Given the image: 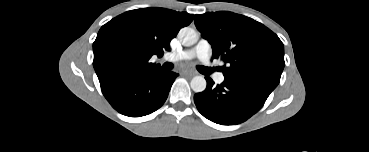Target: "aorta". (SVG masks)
<instances>
[{"instance_id":"1","label":"aorta","mask_w":369,"mask_h":152,"mask_svg":"<svg viewBox=\"0 0 369 152\" xmlns=\"http://www.w3.org/2000/svg\"><path fill=\"white\" fill-rule=\"evenodd\" d=\"M184 46H192L198 40L197 32L189 27L182 28L178 34ZM191 88L194 92H203L206 89L207 82L203 76H195L190 82Z\"/></svg>"}]
</instances>
